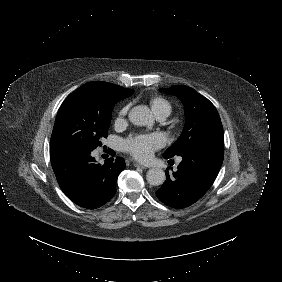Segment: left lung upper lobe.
<instances>
[{"mask_svg": "<svg viewBox=\"0 0 282 282\" xmlns=\"http://www.w3.org/2000/svg\"><path fill=\"white\" fill-rule=\"evenodd\" d=\"M177 96L184 104L186 123L179 139L164 153L165 158L181 155L203 143H223V127L214 105L193 88L174 85L160 89Z\"/></svg>", "mask_w": 282, "mask_h": 282, "instance_id": "obj_1", "label": "left lung upper lobe"}]
</instances>
